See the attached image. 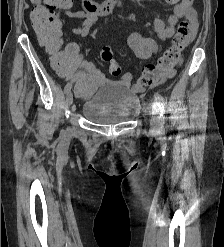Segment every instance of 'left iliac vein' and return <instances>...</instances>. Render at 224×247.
Wrapping results in <instances>:
<instances>
[{
    "mask_svg": "<svg viewBox=\"0 0 224 247\" xmlns=\"http://www.w3.org/2000/svg\"><path fill=\"white\" fill-rule=\"evenodd\" d=\"M151 129L157 131L159 129V107L157 102L152 105V117L150 120Z\"/></svg>",
    "mask_w": 224,
    "mask_h": 247,
    "instance_id": "4c4485c4",
    "label": "left iliac vein"
}]
</instances>
